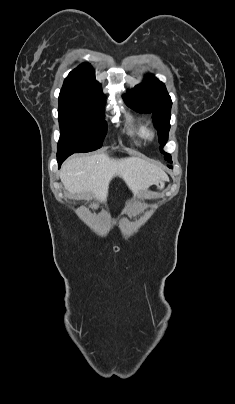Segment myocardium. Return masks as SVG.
I'll list each match as a JSON object with an SVG mask.
<instances>
[{
	"mask_svg": "<svg viewBox=\"0 0 235 404\" xmlns=\"http://www.w3.org/2000/svg\"><path fill=\"white\" fill-rule=\"evenodd\" d=\"M146 138H147L149 141L154 140V138H155V132H154V130L149 129V130L147 131Z\"/></svg>",
	"mask_w": 235,
	"mask_h": 404,
	"instance_id": "myocardium-1",
	"label": "myocardium"
}]
</instances>
